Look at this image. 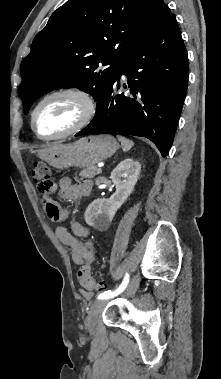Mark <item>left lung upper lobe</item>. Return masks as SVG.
I'll use <instances>...</instances> for the list:
<instances>
[{"label": "left lung upper lobe", "mask_w": 221, "mask_h": 379, "mask_svg": "<svg viewBox=\"0 0 221 379\" xmlns=\"http://www.w3.org/2000/svg\"><path fill=\"white\" fill-rule=\"evenodd\" d=\"M164 5L162 0H69L59 7L20 67L25 113L43 94L60 88H79L98 101L108 79L152 29Z\"/></svg>", "instance_id": "5c2ea615"}]
</instances>
